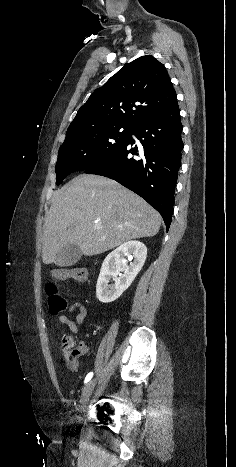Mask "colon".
Masks as SVG:
<instances>
[{"label":"colon","instance_id":"5ec220e1","mask_svg":"<svg viewBox=\"0 0 236 467\" xmlns=\"http://www.w3.org/2000/svg\"><path fill=\"white\" fill-rule=\"evenodd\" d=\"M86 270L82 267H58L53 271L54 280L72 279L84 281ZM47 304L50 314L57 315L66 309L67 303L54 282H50L46 288ZM63 361L66 366L74 370L78 365L79 357L83 351V346L78 345L71 336H64L62 339Z\"/></svg>","mask_w":236,"mask_h":467}]
</instances>
